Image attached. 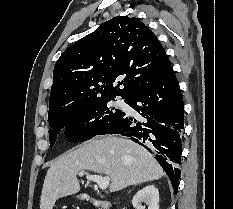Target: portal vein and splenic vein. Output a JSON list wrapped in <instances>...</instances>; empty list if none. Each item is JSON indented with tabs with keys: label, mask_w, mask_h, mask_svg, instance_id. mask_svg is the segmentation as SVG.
<instances>
[{
	"label": "portal vein and splenic vein",
	"mask_w": 233,
	"mask_h": 209,
	"mask_svg": "<svg viewBox=\"0 0 233 209\" xmlns=\"http://www.w3.org/2000/svg\"><path fill=\"white\" fill-rule=\"evenodd\" d=\"M84 174V172H79V176H84ZM86 178L96 182L101 190H106L110 183V178L108 176L87 175Z\"/></svg>",
	"instance_id": "obj_1"
}]
</instances>
